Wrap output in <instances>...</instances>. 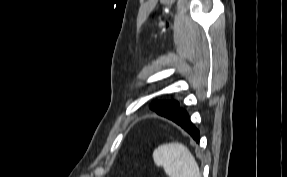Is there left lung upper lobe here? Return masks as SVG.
I'll use <instances>...</instances> for the list:
<instances>
[{"instance_id": "left-lung-upper-lobe-1", "label": "left lung upper lobe", "mask_w": 287, "mask_h": 177, "mask_svg": "<svg viewBox=\"0 0 287 177\" xmlns=\"http://www.w3.org/2000/svg\"><path fill=\"white\" fill-rule=\"evenodd\" d=\"M149 107L161 116L172 115L180 109L179 104L176 101L166 100H155Z\"/></svg>"}]
</instances>
